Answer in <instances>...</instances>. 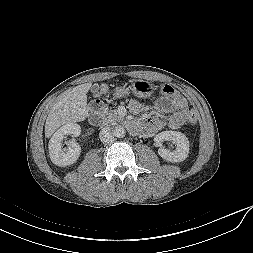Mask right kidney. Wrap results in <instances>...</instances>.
Segmentation results:
<instances>
[{
    "instance_id": "obj_1",
    "label": "right kidney",
    "mask_w": 253,
    "mask_h": 253,
    "mask_svg": "<svg viewBox=\"0 0 253 253\" xmlns=\"http://www.w3.org/2000/svg\"><path fill=\"white\" fill-rule=\"evenodd\" d=\"M81 128L75 123L65 124L59 128L49 141V155L52 163L57 166H69L80 157L81 147L75 141H72L68 148H62V141L65 135L73 134L79 136Z\"/></svg>"
}]
</instances>
